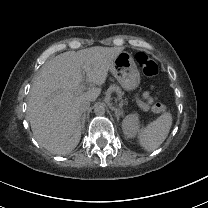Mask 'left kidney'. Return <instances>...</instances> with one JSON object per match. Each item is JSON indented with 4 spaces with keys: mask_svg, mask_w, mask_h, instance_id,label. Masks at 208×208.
Segmentation results:
<instances>
[{
    "mask_svg": "<svg viewBox=\"0 0 208 208\" xmlns=\"http://www.w3.org/2000/svg\"><path fill=\"white\" fill-rule=\"evenodd\" d=\"M140 122L137 113L127 115L122 122V130L127 138H134L139 132Z\"/></svg>",
    "mask_w": 208,
    "mask_h": 208,
    "instance_id": "5707ae66",
    "label": "left kidney"
}]
</instances>
